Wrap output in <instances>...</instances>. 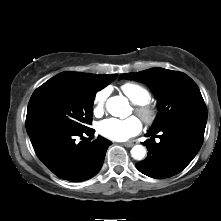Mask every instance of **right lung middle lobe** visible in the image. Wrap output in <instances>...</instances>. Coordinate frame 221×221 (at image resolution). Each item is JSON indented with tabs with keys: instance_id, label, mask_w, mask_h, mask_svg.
<instances>
[{
	"instance_id": "right-lung-middle-lobe-1",
	"label": "right lung middle lobe",
	"mask_w": 221,
	"mask_h": 221,
	"mask_svg": "<svg viewBox=\"0 0 221 221\" xmlns=\"http://www.w3.org/2000/svg\"><path fill=\"white\" fill-rule=\"evenodd\" d=\"M102 87L66 76H55L37 88L28 104L26 129L55 125L84 132L92 122L96 93Z\"/></svg>"
}]
</instances>
